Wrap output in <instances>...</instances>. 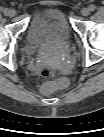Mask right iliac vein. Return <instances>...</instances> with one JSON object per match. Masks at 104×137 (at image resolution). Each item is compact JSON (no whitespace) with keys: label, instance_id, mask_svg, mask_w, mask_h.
Wrapping results in <instances>:
<instances>
[{"label":"right iliac vein","instance_id":"right-iliac-vein-1","mask_svg":"<svg viewBox=\"0 0 104 137\" xmlns=\"http://www.w3.org/2000/svg\"><path fill=\"white\" fill-rule=\"evenodd\" d=\"M7 15L10 17H14L16 15V11L14 9H9Z\"/></svg>","mask_w":104,"mask_h":137}]
</instances>
